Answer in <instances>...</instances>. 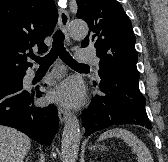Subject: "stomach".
I'll return each mask as SVG.
<instances>
[{
	"label": "stomach",
	"instance_id": "obj_1",
	"mask_svg": "<svg viewBox=\"0 0 168 162\" xmlns=\"http://www.w3.org/2000/svg\"><path fill=\"white\" fill-rule=\"evenodd\" d=\"M92 148L95 149V146H94V147H91V149H92ZM102 149H104V147H102Z\"/></svg>",
	"mask_w": 168,
	"mask_h": 162
}]
</instances>
